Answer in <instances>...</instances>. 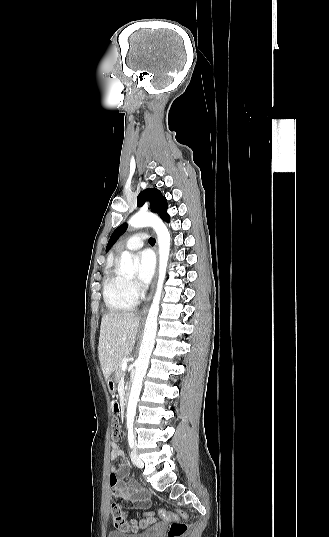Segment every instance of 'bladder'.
Listing matches in <instances>:
<instances>
[{
    "mask_svg": "<svg viewBox=\"0 0 329 537\" xmlns=\"http://www.w3.org/2000/svg\"><path fill=\"white\" fill-rule=\"evenodd\" d=\"M156 531L157 528L138 534H128L120 531H111L108 533L107 537H154Z\"/></svg>",
    "mask_w": 329,
    "mask_h": 537,
    "instance_id": "obj_1",
    "label": "bladder"
}]
</instances>
